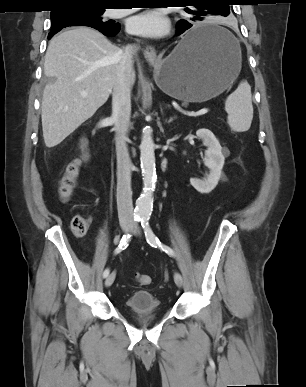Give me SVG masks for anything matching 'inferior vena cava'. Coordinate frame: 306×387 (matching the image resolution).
Here are the masks:
<instances>
[{"instance_id":"602c4592","label":"inferior vena cava","mask_w":306,"mask_h":387,"mask_svg":"<svg viewBox=\"0 0 306 387\" xmlns=\"http://www.w3.org/2000/svg\"><path fill=\"white\" fill-rule=\"evenodd\" d=\"M136 46H127L121 54L117 77L112 92V119L114 121L117 155V208L120 222H133L131 168L126 142L131 115V88L133 85V56Z\"/></svg>"}]
</instances>
